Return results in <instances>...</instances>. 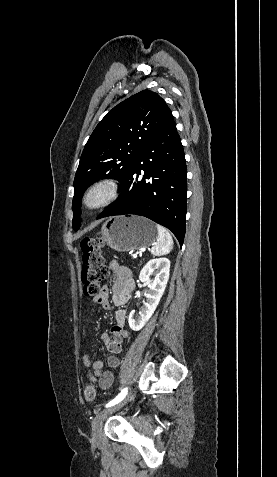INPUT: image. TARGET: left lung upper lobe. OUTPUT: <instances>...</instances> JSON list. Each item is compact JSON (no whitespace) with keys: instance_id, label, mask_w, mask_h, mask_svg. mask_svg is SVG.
<instances>
[{"instance_id":"obj_1","label":"left lung upper lobe","mask_w":277,"mask_h":477,"mask_svg":"<svg viewBox=\"0 0 277 477\" xmlns=\"http://www.w3.org/2000/svg\"><path fill=\"white\" fill-rule=\"evenodd\" d=\"M173 118L165 101L143 90L110 110L88 139L74 179L73 229L80 227V202L95 181L113 178L121 183L133 169L143 147Z\"/></svg>"}]
</instances>
